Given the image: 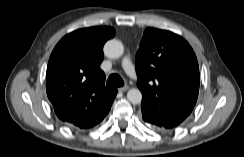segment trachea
<instances>
[{
    "label": "trachea",
    "mask_w": 244,
    "mask_h": 157,
    "mask_svg": "<svg viewBox=\"0 0 244 157\" xmlns=\"http://www.w3.org/2000/svg\"><path fill=\"white\" fill-rule=\"evenodd\" d=\"M106 85L108 87H122L124 85V81L119 74L114 73L109 76Z\"/></svg>",
    "instance_id": "1"
}]
</instances>
